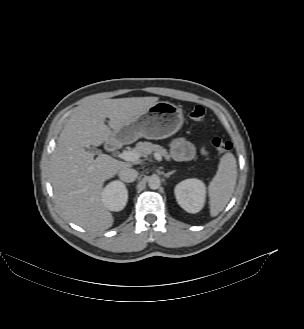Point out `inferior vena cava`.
<instances>
[{"label":"inferior vena cava","instance_id":"1","mask_svg":"<svg viewBox=\"0 0 304 329\" xmlns=\"http://www.w3.org/2000/svg\"><path fill=\"white\" fill-rule=\"evenodd\" d=\"M137 176L138 172L132 168H123L119 171V178L127 183L135 181Z\"/></svg>","mask_w":304,"mask_h":329}]
</instances>
